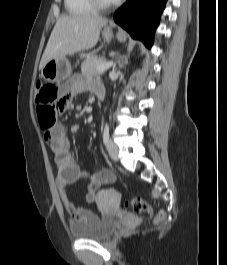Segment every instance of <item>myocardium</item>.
Returning a JSON list of instances; mask_svg holds the SVG:
<instances>
[{
    "label": "myocardium",
    "mask_w": 227,
    "mask_h": 265,
    "mask_svg": "<svg viewBox=\"0 0 227 265\" xmlns=\"http://www.w3.org/2000/svg\"><path fill=\"white\" fill-rule=\"evenodd\" d=\"M95 10H107L113 7L117 2L105 3L102 0H89Z\"/></svg>",
    "instance_id": "f54148a6"
}]
</instances>
